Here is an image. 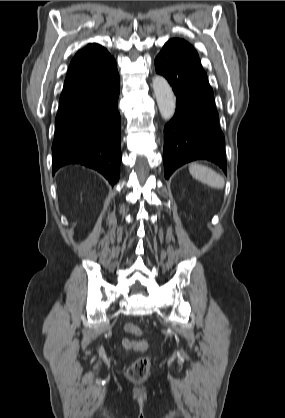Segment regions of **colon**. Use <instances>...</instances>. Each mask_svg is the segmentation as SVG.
<instances>
[{
    "label": "colon",
    "mask_w": 285,
    "mask_h": 418,
    "mask_svg": "<svg viewBox=\"0 0 285 418\" xmlns=\"http://www.w3.org/2000/svg\"><path fill=\"white\" fill-rule=\"evenodd\" d=\"M125 330L135 336L141 335L139 327L127 324ZM143 347L146 348V342L144 341ZM151 366V359L149 357H141L136 359L128 369V377L133 381H140L146 378L149 374Z\"/></svg>",
    "instance_id": "colon-1"
}]
</instances>
